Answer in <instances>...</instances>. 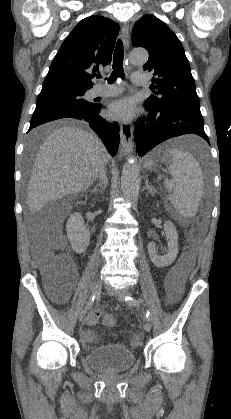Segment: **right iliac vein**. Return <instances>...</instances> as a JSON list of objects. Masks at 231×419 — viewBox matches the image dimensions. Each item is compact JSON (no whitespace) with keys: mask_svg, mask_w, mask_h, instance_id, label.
Segmentation results:
<instances>
[{"mask_svg":"<svg viewBox=\"0 0 231 419\" xmlns=\"http://www.w3.org/2000/svg\"><path fill=\"white\" fill-rule=\"evenodd\" d=\"M102 289V282L97 281L92 287V296H97ZM87 313V309H83L79 314V321H82Z\"/></svg>","mask_w":231,"mask_h":419,"instance_id":"63e3f726","label":"right iliac vein"}]
</instances>
